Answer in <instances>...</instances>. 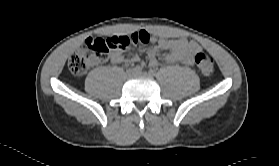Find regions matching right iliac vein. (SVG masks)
Listing matches in <instances>:
<instances>
[{"mask_svg": "<svg viewBox=\"0 0 279 166\" xmlns=\"http://www.w3.org/2000/svg\"><path fill=\"white\" fill-rule=\"evenodd\" d=\"M136 73L137 72L134 69H130L127 71L126 75H127V77H132V76H135Z\"/></svg>", "mask_w": 279, "mask_h": 166, "instance_id": "obj_1", "label": "right iliac vein"}]
</instances>
